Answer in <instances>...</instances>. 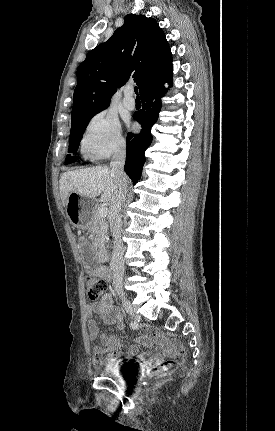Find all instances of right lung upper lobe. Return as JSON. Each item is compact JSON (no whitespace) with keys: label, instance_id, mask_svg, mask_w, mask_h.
<instances>
[{"label":"right lung upper lobe","instance_id":"1","mask_svg":"<svg viewBox=\"0 0 275 431\" xmlns=\"http://www.w3.org/2000/svg\"><path fill=\"white\" fill-rule=\"evenodd\" d=\"M171 71V50L156 20L127 15L123 26L79 65L72 122L106 109L117 88L128 80L136 82L142 95Z\"/></svg>","mask_w":275,"mask_h":431}]
</instances>
